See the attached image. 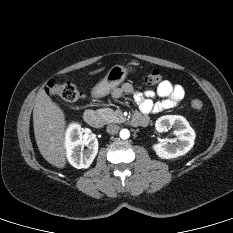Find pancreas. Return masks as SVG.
<instances>
[{"label":"pancreas","instance_id":"pancreas-1","mask_svg":"<svg viewBox=\"0 0 233 233\" xmlns=\"http://www.w3.org/2000/svg\"><path fill=\"white\" fill-rule=\"evenodd\" d=\"M96 112L108 123H120L125 120L121 112L114 111L111 108L98 109Z\"/></svg>","mask_w":233,"mask_h":233}]
</instances>
